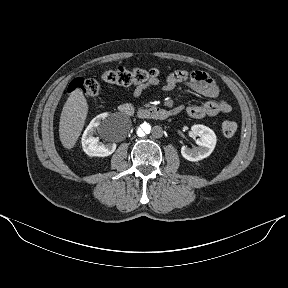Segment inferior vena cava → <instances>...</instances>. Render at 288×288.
<instances>
[{
	"mask_svg": "<svg viewBox=\"0 0 288 288\" xmlns=\"http://www.w3.org/2000/svg\"><path fill=\"white\" fill-rule=\"evenodd\" d=\"M163 135H164V129H163L160 125H155V126L152 128L151 136H152L154 139H159V138H161Z\"/></svg>",
	"mask_w": 288,
	"mask_h": 288,
	"instance_id": "602c4592",
	"label": "inferior vena cava"
}]
</instances>
